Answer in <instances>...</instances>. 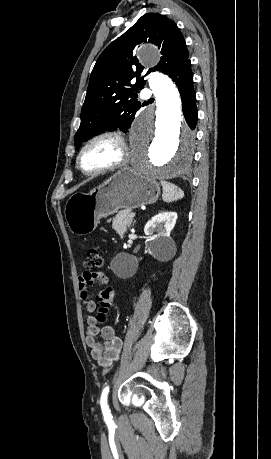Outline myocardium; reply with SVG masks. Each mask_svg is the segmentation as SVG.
Returning a JSON list of instances; mask_svg holds the SVG:
<instances>
[{"instance_id":"myocardium-1","label":"myocardium","mask_w":271,"mask_h":459,"mask_svg":"<svg viewBox=\"0 0 271 459\" xmlns=\"http://www.w3.org/2000/svg\"><path fill=\"white\" fill-rule=\"evenodd\" d=\"M102 137H111L113 138L117 144H118V155L117 157L107 163V164H104L94 170H91V171H86L82 168L81 166V157H82V154L84 153V151L86 150V148L88 147V145L99 139V138H102ZM128 157H129V144L124 136V134L117 128H104V129H101L95 133H93L92 135H90L89 137H87L83 143L81 144L77 154H76V157H75V165L77 167V169L79 170V172L81 174H83L84 176H95V175H98L102 172H106V171H109V170H114V169H117L121 166H123L127 160H128Z\"/></svg>"}]
</instances>
